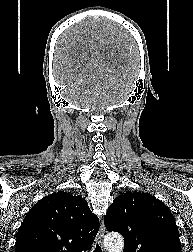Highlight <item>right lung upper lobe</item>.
Segmentation results:
<instances>
[{"instance_id":"right-lung-upper-lobe-1","label":"right lung upper lobe","mask_w":193,"mask_h":252,"mask_svg":"<svg viewBox=\"0 0 193 252\" xmlns=\"http://www.w3.org/2000/svg\"><path fill=\"white\" fill-rule=\"evenodd\" d=\"M99 219L87 201L54 192L27 213L17 233L16 252H82L91 248Z\"/></svg>"}]
</instances>
